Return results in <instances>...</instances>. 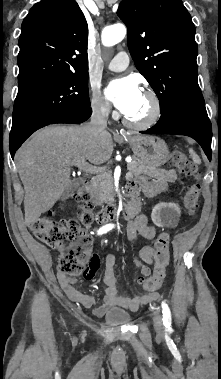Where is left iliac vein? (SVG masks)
Instances as JSON below:
<instances>
[{
	"label": "left iliac vein",
	"instance_id": "4c4485c4",
	"mask_svg": "<svg viewBox=\"0 0 221 379\" xmlns=\"http://www.w3.org/2000/svg\"><path fill=\"white\" fill-rule=\"evenodd\" d=\"M153 322H154V327H155L156 331L161 333L163 330V324H162V316H161L160 312H158V311L155 312Z\"/></svg>",
	"mask_w": 221,
	"mask_h": 379
}]
</instances>
